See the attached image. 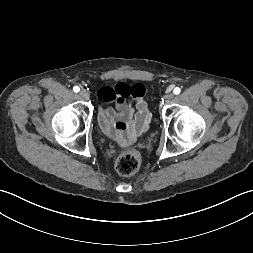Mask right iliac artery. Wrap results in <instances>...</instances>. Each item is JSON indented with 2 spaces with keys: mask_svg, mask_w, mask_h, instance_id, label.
Returning a JSON list of instances; mask_svg holds the SVG:
<instances>
[{
  "mask_svg": "<svg viewBox=\"0 0 253 253\" xmlns=\"http://www.w3.org/2000/svg\"><path fill=\"white\" fill-rule=\"evenodd\" d=\"M79 90H80V89H79V87H78V86H74V87H73V91H74V92H76V93H77V92H79Z\"/></svg>",
  "mask_w": 253,
  "mask_h": 253,
  "instance_id": "obj_1",
  "label": "right iliac artery"
}]
</instances>
